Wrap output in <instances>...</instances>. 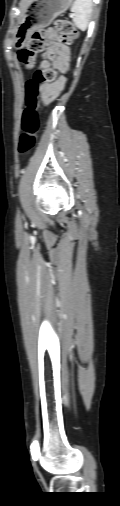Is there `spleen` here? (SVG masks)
<instances>
[{
	"mask_svg": "<svg viewBox=\"0 0 120 506\" xmlns=\"http://www.w3.org/2000/svg\"><path fill=\"white\" fill-rule=\"evenodd\" d=\"M92 7V0H74L71 7V12L74 14L73 22L81 31H85L88 27Z\"/></svg>",
	"mask_w": 120,
	"mask_h": 506,
	"instance_id": "obj_1",
	"label": "spleen"
}]
</instances>
